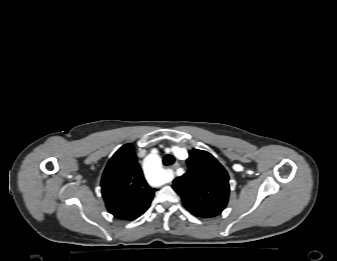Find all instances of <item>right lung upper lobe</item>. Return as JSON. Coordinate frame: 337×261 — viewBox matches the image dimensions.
I'll return each instance as SVG.
<instances>
[{
  "mask_svg": "<svg viewBox=\"0 0 337 261\" xmlns=\"http://www.w3.org/2000/svg\"><path fill=\"white\" fill-rule=\"evenodd\" d=\"M101 188L108 211L124 220L141 216L157 190L147 184L131 144H125L111 157L102 175Z\"/></svg>",
  "mask_w": 337,
  "mask_h": 261,
  "instance_id": "obj_1",
  "label": "right lung upper lobe"
}]
</instances>
